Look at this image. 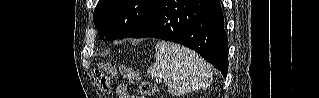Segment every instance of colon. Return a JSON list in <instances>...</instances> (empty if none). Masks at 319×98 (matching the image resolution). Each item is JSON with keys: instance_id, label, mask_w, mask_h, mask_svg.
<instances>
[{"instance_id": "1", "label": "colon", "mask_w": 319, "mask_h": 98, "mask_svg": "<svg viewBox=\"0 0 319 98\" xmlns=\"http://www.w3.org/2000/svg\"><path fill=\"white\" fill-rule=\"evenodd\" d=\"M106 67V71L108 73H112L114 70L113 65L107 63L105 65ZM97 74L100 75V79H101V84L103 85L104 88H107L108 86V79L107 77L103 74V72L101 71H97ZM125 75L129 78H133L136 79L137 78V74L136 73H130V72H125ZM156 90V86L153 82L151 81H144L141 83L140 87H139V97L144 98V97H149L150 95H152Z\"/></svg>"}]
</instances>
